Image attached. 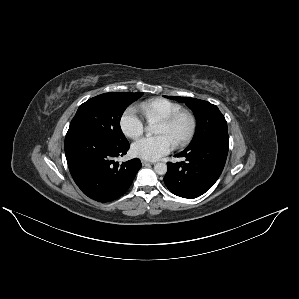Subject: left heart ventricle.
<instances>
[{
    "label": "left heart ventricle",
    "instance_id": "obj_1",
    "mask_svg": "<svg viewBox=\"0 0 299 299\" xmlns=\"http://www.w3.org/2000/svg\"><path fill=\"white\" fill-rule=\"evenodd\" d=\"M190 120L187 116H182L173 126H166L159 123L156 133L168 136L173 143L182 139L189 131Z\"/></svg>",
    "mask_w": 299,
    "mask_h": 299
}]
</instances>
